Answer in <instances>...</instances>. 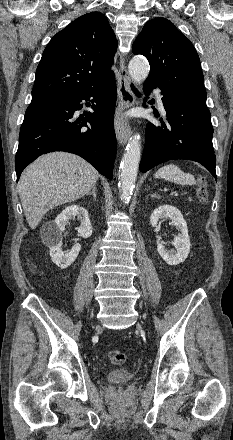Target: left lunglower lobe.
I'll return each instance as SVG.
<instances>
[{"label": "left lung lower lobe", "instance_id": "obj_1", "mask_svg": "<svg viewBox=\"0 0 233 440\" xmlns=\"http://www.w3.org/2000/svg\"><path fill=\"white\" fill-rule=\"evenodd\" d=\"M156 87L159 86L146 80L145 94L149 95ZM161 94L169 124L166 126L162 122L161 127L147 124L140 171L146 172L168 160L186 159L201 163L217 179L212 144L213 128L206 97L163 90Z\"/></svg>", "mask_w": 233, "mask_h": 440}]
</instances>
